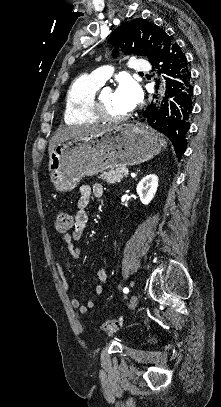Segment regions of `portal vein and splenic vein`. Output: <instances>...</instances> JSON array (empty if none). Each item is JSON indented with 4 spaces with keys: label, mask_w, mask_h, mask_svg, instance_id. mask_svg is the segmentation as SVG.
Returning a JSON list of instances; mask_svg holds the SVG:
<instances>
[{
    "label": "portal vein and splenic vein",
    "mask_w": 221,
    "mask_h": 407,
    "mask_svg": "<svg viewBox=\"0 0 221 407\" xmlns=\"http://www.w3.org/2000/svg\"><path fill=\"white\" fill-rule=\"evenodd\" d=\"M128 174H129V172H128V171H126V172H125V176H127Z\"/></svg>",
    "instance_id": "1"
}]
</instances>
